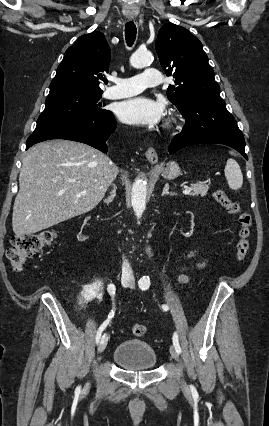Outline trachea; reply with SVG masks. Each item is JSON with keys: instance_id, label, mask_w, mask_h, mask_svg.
I'll return each mask as SVG.
<instances>
[{"instance_id": "obj_1", "label": "trachea", "mask_w": 269, "mask_h": 426, "mask_svg": "<svg viewBox=\"0 0 269 426\" xmlns=\"http://www.w3.org/2000/svg\"><path fill=\"white\" fill-rule=\"evenodd\" d=\"M136 25L130 21L125 24V39L127 42V45L131 47L136 39Z\"/></svg>"}]
</instances>
